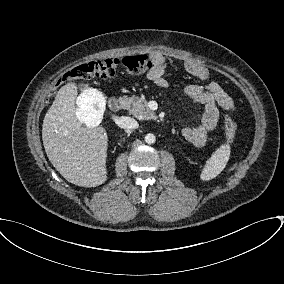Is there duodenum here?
<instances>
[{
    "mask_svg": "<svg viewBox=\"0 0 284 284\" xmlns=\"http://www.w3.org/2000/svg\"><path fill=\"white\" fill-rule=\"evenodd\" d=\"M109 108L113 111V112H118L121 110L122 108V103L118 98H111L109 100Z\"/></svg>",
    "mask_w": 284,
    "mask_h": 284,
    "instance_id": "obj_1",
    "label": "duodenum"
}]
</instances>
